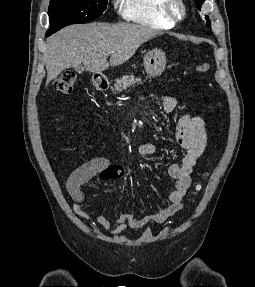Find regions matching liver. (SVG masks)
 <instances>
[{
    "label": "liver",
    "mask_w": 255,
    "mask_h": 287,
    "mask_svg": "<svg viewBox=\"0 0 255 287\" xmlns=\"http://www.w3.org/2000/svg\"><path fill=\"white\" fill-rule=\"evenodd\" d=\"M158 30L138 24H75L47 38L44 58L46 84L63 70L83 64L88 72H104L109 66H121L134 56L144 42L159 36ZM114 52V54H111ZM105 56H111L107 62Z\"/></svg>",
    "instance_id": "6515ba94"
}]
</instances>
